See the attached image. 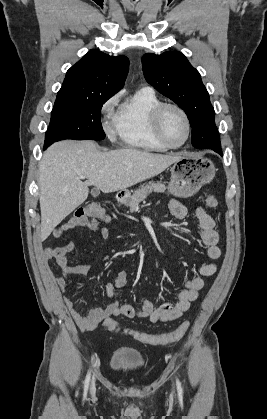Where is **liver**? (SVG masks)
<instances>
[{
  "instance_id": "1",
  "label": "liver",
  "mask_w": 267,
  "mask_h": 419,
  "mask_svg": "<svg viewBox=\"0 0 267 419\" xmlns=\"http://www.w3.org/2000/svg\"><path fill=\"white\" fill-rule=\"evenodd\" d=\"M180 158L134 148L100 152L93 141L54 143L39 166L41 240L87 199L90 185L103 193L125 190L160 174ZM80 175L88 180L82 182Z\"/></svg>"
}]
</instances>
